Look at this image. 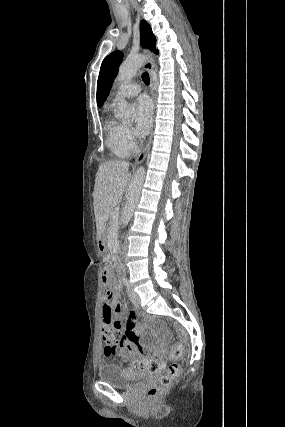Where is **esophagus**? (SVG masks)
<instances>
[{
    "label": "esophagus",
    "instance_id": "obj_1",
    "mask_svg": "<svg viewBox=\"0 0 285 427\" xmlns=\"http://www.w3.org/2000/svg\"><path fill=\"white\" fill-rule=\"evenodd\" d=\"M143 52H144V54H146L148 56L147 60L144 63V69L149 72L150 79H151V96H152V100H153V119H152L151 131H150V136H149L148 142H147L145 148L143 149V151L136 157L135 164L142 162L145 159V157L147 156V153L150 149L151 140H152V136H153V130H154V126H155L154 117H155V111H156V96H155V82H154V77L152 75L153 62L150 58L149 50L144 49Z\"/></svg>",
    "mask_w": 285,
    "mask_h": 427
}]
</instances>
